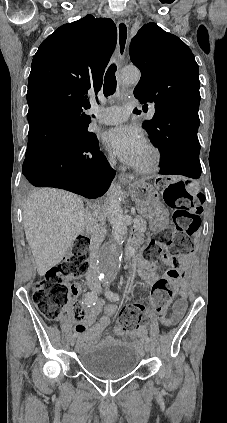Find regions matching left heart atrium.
Segmentation results:
<instances>
[{
  "mask_svg": "<svg viewBox=\"0 0 227 423\" xmlns=\"http://www.w3.org/2000/svg\"><path fill=\"white\" fill-rule=\"evenodd\" d=\"M104 142L113 154L132 166L139 164L148 144L143 133L134 127L112 129L104 135Z\"/></svg>",
  "mask_w": 227,
  "mask_h": 423,
  "instance_id": "left-heart-atrium-1",
  "label": "left heart atrium"
}]
</instances>
